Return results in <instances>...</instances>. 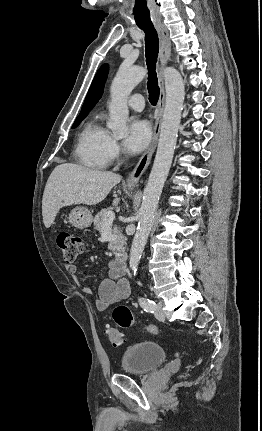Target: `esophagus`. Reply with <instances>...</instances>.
Instances as JSON below:
<instances>
[{
	"instance_id": "obj_1",
	"label": "esophagus",
	"mask_w": 262,
	"mask_h": 431,
	"mask_svg": "<svg viewBox=\"0 0 262 431\" xmlns=\"http://www.w3.org/2000/svg\"><path fill=\"white\" fill-rule=\"evenodd\" d=\"M156 29L160 39L161 68H160V75H159L160 95H159L157 108L154 114L155 123H154V129L152 134V140L149 147L143 153V155L141 156L140 160L138 161V163L136 164L132 172L128 175L126 179L127 186H137L141 176L147 169L150 163V160L155 152L159 134H160V129H161V123H162L163 111H164V101H165L163 68L167 65V63L170 60L171 45L169 40L168 29L163 24L156 25Z\"/></svg>"
}]
</instances>
